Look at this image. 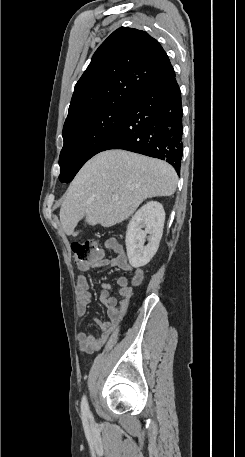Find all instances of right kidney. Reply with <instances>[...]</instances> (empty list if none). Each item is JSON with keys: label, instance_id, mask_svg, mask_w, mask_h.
<instances>
[{"label": "right kidney", "instance_id": "right-kidney-1", "mask_svg": "<svg viewBox=\"0 0 245 457\" xmlns=\"http://www.w3.org/2000/svg\"><path fill=\"white\" fill-rule=\"evenodd\" d=\"M164 220L163 204L157 200H150L147 204H143L133 214L125 239L127 257L131 267H135V269L144 267L157 253L163 235ZM145 239H147L148 245H144Z\"/></svg>", "mask_w": 245, "mask_h": 457}]
</instances>
